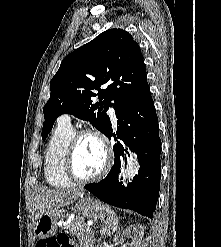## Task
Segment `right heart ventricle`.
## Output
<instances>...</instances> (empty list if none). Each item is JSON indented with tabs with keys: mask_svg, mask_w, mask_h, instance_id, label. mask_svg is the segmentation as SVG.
<instances>
[{
	"mask_svg": "<svg viewBox=\"0 0 221 247\" xmlns=\"http://www.w3.org/2000/svg\"><path fill=\"white\" fill-rule=\"evenodd\" d=\"M73 134L74 129L70 124L59 122L46 146L44 155L45 178L55 188H68L74 184L64 169L65 154Z\"/></svg>",
	"mask_w": 221,
	"mask_h": 247,
	"instance_id": "1",
	"label": "right heart ventricle"
}]
</instances>
